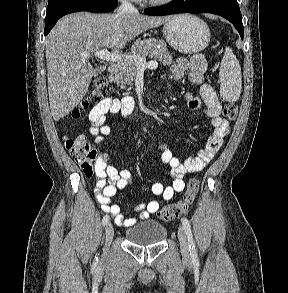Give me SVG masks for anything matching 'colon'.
Instances as JSON below:
<instances>
[{"mask_svg":"<svg viewBox=\"0 0 288 293\" xmlns=\"http://www.w3.org/2000/svg\"><path fill=\"white\" fill-rule=\"evenodd\" d=\"M113 94V90L104 79L97 80L89 99L76 108L72 112V116L74 118L79 117L81 112L88 107L89 102L110 99ZM223 113L228 120H235L237 117V107L233 104H226ZM65 146L80 165L84 174L88 177L92 176L94 173L93 162L97 159V151L88 142L87 138L84 136L66 137ZM199 186L197 178L190 179L183 197L176 203L161 208L158 212V219L163 222H169L187 212L198 194Z\"/></svg>","mask_w":288,"mask_h":293,"instance_id":"1","label":"colon"}]
</instances>
